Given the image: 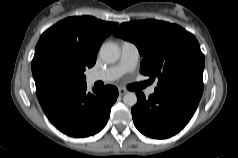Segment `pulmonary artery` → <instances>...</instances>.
I'll list each match as a JSON object with an SVG mask.
<instances>
[{
  "label": "pulmonary artery",
  "instance_id": "pulmonary-artery-1",
  "mask_svg": "<svg viewBox=\"0 0 238 158\" xmlns=\"http://www.w3.org/2000/svg\"><path fill=\"white\" fill-rule=\"evenodd\" d=\"M120 60L119 62L105 70L93 72L88 75L87 81L93 84L98 81L111 82L120 78L124 73L135 69L139 51L136 45L129 41H123L120 45ZM155 92V85L150 86L146 90L147 95H152Z\"/></svg>",
  "mask_w": 238,
  "mask_h": 158
}]
</instances>
